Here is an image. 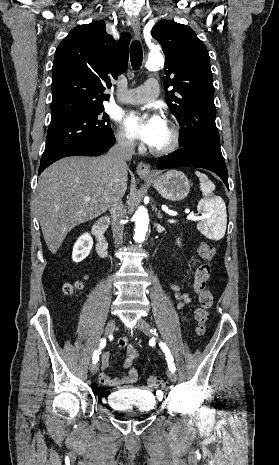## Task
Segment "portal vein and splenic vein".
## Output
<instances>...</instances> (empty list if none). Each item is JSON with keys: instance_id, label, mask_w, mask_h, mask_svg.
<instances>
[{"instance_id": "1", "label": "portal vein and splenic vein", "mask_w": 279, "mask_h": 465, "mask_svg": "<svg viewBox=\"0 0 279 465\" xmlns=\"http://www.w3.org/2000/svg\"><path fill=\"white\" fill-rule=\"evenodd\" d=\"M86 201H89L90 200V197H86L85 198ZM199 219H202V217L200 216H195L194 213H190L188 216H187V220H199ZM170 223H174L175 220H169Z\"/></svg>"}]
</instances>
